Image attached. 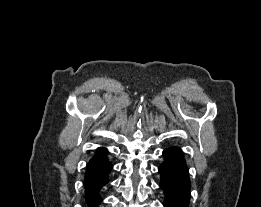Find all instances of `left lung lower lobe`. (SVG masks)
Wrapping results in <instances>:
<instances>
[{
  "instance_id": "0a47b994",
  "label": "left lung lower lobe",
  "mask_w": 261,
  "mask_h": 207,
  "mask_svg": "<svg viewBox=\"0 0 261 207\" xmlns=\"http://www.w3.org/2000/svg\"><path fill=\"white\" fill-rule=\"evenodd\" d=\"M163 159L158 172L164 207H189L191 182L182 149L176 146L165 149Z\"/></svg>"
}]
</instances>
